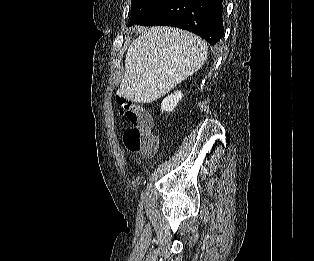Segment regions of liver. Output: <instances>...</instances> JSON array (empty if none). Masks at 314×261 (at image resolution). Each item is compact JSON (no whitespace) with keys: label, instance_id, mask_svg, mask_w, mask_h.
Listing matches in <instances>:
<instances>
[{"label":"liver","instance_id":"obj_1","mask_svg":"<svg viewBox=\"0 0 314 261\" xmlns=\"http://www.w3.org/2000/svg\"><path fill=\"white\" fill-rule=\"evenodd\" d=\"M132 33L125 73L117 95L135 103H151L197 72L205 63L207 43L185 30L150 27Z\"/></svg>","mask_w":314,"mask_h":261}]
</instances>
